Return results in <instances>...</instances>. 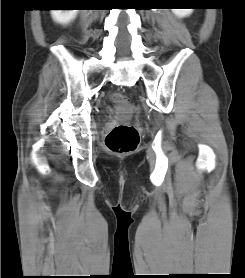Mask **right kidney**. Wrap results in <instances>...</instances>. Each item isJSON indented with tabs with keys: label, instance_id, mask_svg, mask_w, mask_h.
<instances>
[{
	"label": "right kidney",
	"instance_id": "1",
	"mask_svg": "<svg viewBox=\"0 0 245 278\" xmlns=\"http://www.w3.org/2000/svg\"><path fill=\"white\" fill-rule=\"evenodd\" d=\"M78 10H51L54 21L61 24H68L77 15Z\"/></svg>",
	"mask_w": 245,
	"mask_h": 278
}]
</instances>
